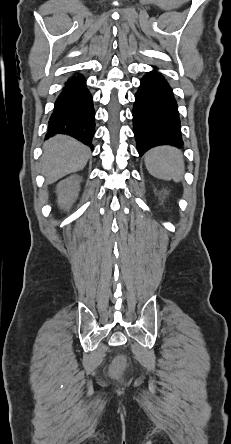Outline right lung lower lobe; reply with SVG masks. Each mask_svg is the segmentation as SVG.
Listing matches in <instances>:
<instances>
[{
    "label": "right lung lower lobe",
    "instance_id": "right-lung-lower-lobe-1",
    "mask_svg": "<svg viewBox=\"0 0 231 444\" xmlns=\"http://www.w3.org/2000/svg\"><path fill=\"white\" fill-rule=\"evenodd\" d=\"M95 111L90 92L82 75L69 78L55 102L46 138L67 134L93 149Z\"/></svg>",
    "mask_w": 231,
    "mask_h": 444
}]
</instances>
